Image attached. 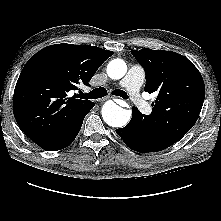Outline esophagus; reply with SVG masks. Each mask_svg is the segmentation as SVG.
Wrapping results in <instances>:
<instances>
[{
	"label": "esophagus",
	"instance_id": "esophagus-1",
	"mask_svg": "<svg viewBox=\"0 0 221 221\" xmlns=\"http://www.w3.org/2000/svg\"><path fill=\"white\" fill-rule=\"evenodd\" d=\"M109 98H110V97H104V98L101 99V101H105V100H107V99H109ZM111 98H113V97H111ZM114 100L120 101L119 99H114Z\"/></svg>",
	"mask_w": 221,
	"mask_h": 221
}]
</instances>
